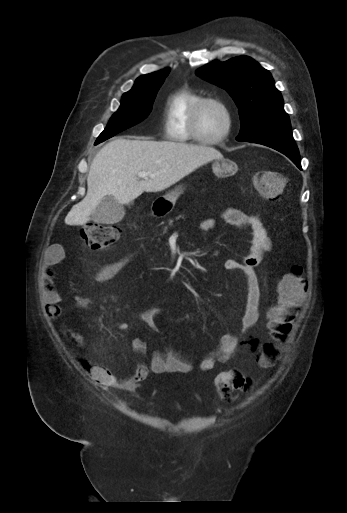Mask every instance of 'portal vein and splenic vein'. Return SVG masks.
Segmentation results:
<instances>
[{"label":"portal vein and splenic vein","mask_w":347,"mask_h":513,"mask_svg":"<svg viewBox=\"0 0 347 513\" xmlns=\"http://www.w3.org/2000/svg\"><path fill=\"white\" fill-rule=\"evenodd\" d=\"M149 176H154V174L148 173V172H140L138 173V177L147 179Z\"/></svg>","instance_id":"1"}]
</instances>
